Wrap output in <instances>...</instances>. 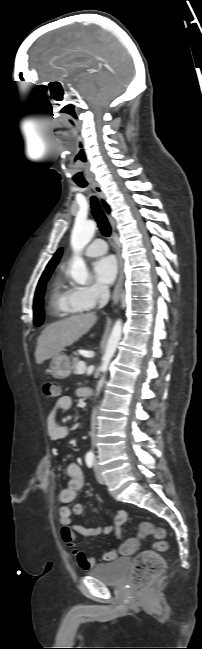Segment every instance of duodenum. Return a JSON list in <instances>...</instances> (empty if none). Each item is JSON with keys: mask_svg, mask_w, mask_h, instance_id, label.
Listing matches in <instances>:
<instances>
[{"mask_svg": "<svg viewBox=\"0 0 202 649\" xmlns=\"http://www.w3.org/2000/svg\"><path fill=\"white\" fill-rule=\"evenodd\" d=\"M93 394V391L91 389H83V395L84 396H91Z\"/></svg>", "mask_w": 202, "mask_h": 649, "instance_id": "410a0bca", "label": "duodenum"}]
</instances>
